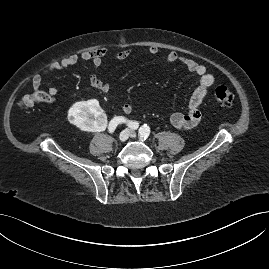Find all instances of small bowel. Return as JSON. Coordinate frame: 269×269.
Listing matches in <instances>:
<instances>
[{"mask_svg":"<svg viewBox=\"0 0 269 269\" xmlns=\"http://www.w3.org/2000/svg\"><path fill=\"white\" fill-rule=\"evenodd\" d=\"M146 52L155 55L159 52L156 46H150L146 49ZM108 53L107 48L101 47L94 50L83 51L80 55L71 54L63 59L50 63L43 70L42 73H37L32 77L31 84L34 90L40 91L42 87L43 77L56 71H62L69 67L76 65L79 61L92 62L95 67H100L103 63L104 58ZM131 55V50L125 49L115 54L114 58L118 61L127 59ZM166 64L180 63L190 73L198 77V85L193 90L190 99L188 101L187 110L184 112H175L170 117L171 124L181 130H189L195 127L201 120L202 114L200 106L204 99L208 96L210 88L215 83V77L213 74L207 71V68L187 57L179 55L176 51L170 50L165 56ZM91 85L102 93H108L111 90V86L105 82L99 75L92 74L90 77ZM58 90L56 87L51 86L44 93L45 99L43 102H53ZM133 107L130 103L124 102L121 105V111L129 115L131 114ZM124 123V122H120ZM119 123V124H120Z\"/></svg>","mask_w":269,"mask_h":269,"instance_id":"obj_1","label":"small bowel"}]
</instances>
